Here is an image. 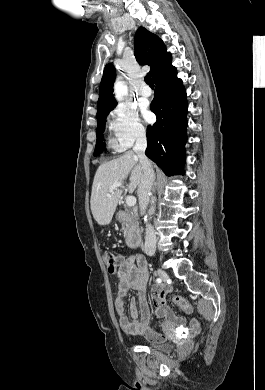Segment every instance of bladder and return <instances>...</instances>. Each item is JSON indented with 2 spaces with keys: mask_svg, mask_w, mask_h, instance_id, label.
<instances>
[{
  "mask_svg": "<svg viewBox=\"0 0 265 390\" xmlns=\"http://www.w3.org/2000/svg\"><path fill=\"white\" fill-rule=\"evenodd\" d=\"M143 343L151 348L160 350V351H170L172 345L169 342L161 341L159 339H150V338H145Z\"/></svg>",
  "mask_w": 265,
  "mask_h": 390,
  "instance_id": "1",
  "label": "bladder"
}]
</instances>
